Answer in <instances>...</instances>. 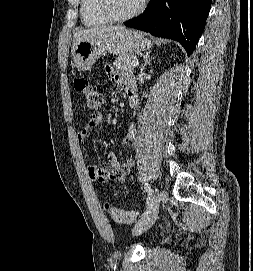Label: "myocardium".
Returning <instances> with one entry per match:
<instances>
[{"label":"myocardium","mask_w":253,"mask_h":271,"mask_svg":"<svg viewBox=\"0 0 253 271\" xmlns=\"http://www.w3.org/2000/svg\"><path fill=\"white\" fill-rule=\"evenodd\" d=\"M148 0H141L140 4L132 12L125 15H117L111 6V0H98L99 12L110 22H124L139 16L146 8Z\"/></svg>","instance_id":"1"}]
</instances>
